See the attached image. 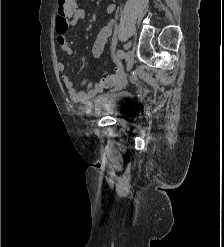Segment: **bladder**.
Returning <instances> with one entry per match:
<instances>
[{
  "label": "bladder",
  "mask_w": 224,
  "mask_h": 247,
  "mask_svg": "<svg viewBox=\"0 0 224 247\" xmlns=\"http://www.w3.org/2000/svg\"><path fill=\"white\" fill-rule=\"evenodd\" d=\"M132 104L133 95L128 92H107L101 94L96 100L99 112L109 116L126 115Z\"/></svg>",
  "instance_id": "1"
}]
</instances>
